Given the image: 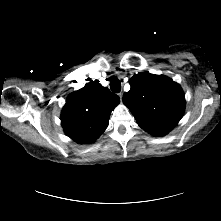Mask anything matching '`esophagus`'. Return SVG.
I'll return each mask as SVG.
<instances>
[{
    "label": "esophagus",
    "mask_w": 221,
    "mask_h": 221,
    "mask_svg": "<svg viewBox=\"0 0 221 221\" xmlns=\"http://www.w3.org/2000/svg\"><path fill=\"white\" fill-rule=\"evenodd\" d=\"M119 97L122 100V97H123V93L122 92L119 93Z\"/></svg>",
    "instance_id": "esophagus-1"
}]
</instances>
